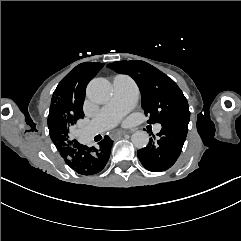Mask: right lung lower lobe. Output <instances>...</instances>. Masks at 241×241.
Instances as JSON below:
<instances>
[{"mask_svg": "<svg viewBox=\"0 0 241 241\" xmlns=\"http://www.w3.org/2000/svg\"><path fill=\"white\" fill-rule=\"evenodd\" d=\"M113 141L105 136L98 146L88 147L75 140L72 144L59 148L66 164L82 175L99 173L107 164Z\"/></svg>", "mask_w": 241, "mask_h": 241, "instance_id": "1", "label": "right lung lower lobe"}]
</instances>
